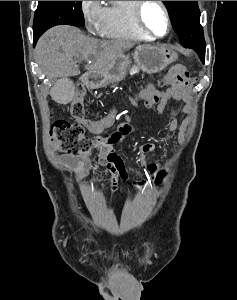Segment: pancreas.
Segmentation results:
<instances>
[{
	"mask_svg": "<svg viewBox=\"0 0 237 300\" xmlns=\"http://www.w3.org/2000/svg\"><path fill=\"white\" fill-rule=\"evenodd\" d=\"M131 73H139L138 67H135V65H133V67H131Z\"/></svg>",
	"mask_w": 237,
	"mask_h": 300,
	"instance_id": "cf45deb5",
	"label": "pancreas"
}]
</instances>
